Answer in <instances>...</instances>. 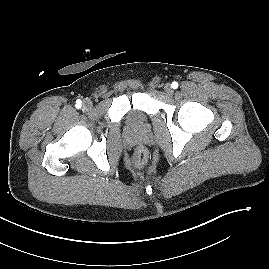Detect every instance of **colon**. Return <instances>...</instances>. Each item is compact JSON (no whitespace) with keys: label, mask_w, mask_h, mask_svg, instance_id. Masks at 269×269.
I'll return each instance as SVG.
<instances>
[{"label":"colon","mask_w":269,"mask_h":269,"mask_svg":"<svg viewBox=\"0 0 269 269\" xmlns=\"http://www.w3.org/2000/svg\"><path fill=\"white\" fill-rule=\"evenodd\" d=\"M147 152L143 148H138L132 155V163L137 166H143L147 162Z\"/></svg>","instance_id":"colon-1"}]
</instances>
